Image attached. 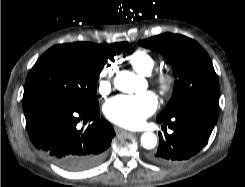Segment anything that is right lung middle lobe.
Segmentation results:
<instances>
[{
	"mask_svg": "<svg viewBox=\"0 0 245 187\" xmlns=\"http://www.w3.org/2000/svg\"><path fill=\"white\" fill-rule=\"evenodd\" d=\"M127 42L97 45L77 42L47 50L30 71L24 89V110L45 102L98 108L97 80L108 60Z\"/></svg>",
	"mask_w": 245,
	"mask_h": 187,
	"instance_id": "right-lung-middle-lobe-1",
	"label": "right lung middle lobe"
}]
</instances>
